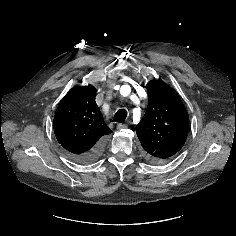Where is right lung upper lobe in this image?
I'll use <instances>...</instances> for the list:
<instances>
[{"mask_svg": "<svg viewBox=\"0 0 236 236\" xmlns=\"http://www.w3.org/2000/svg\"><path fill=\"white\" fill-rule=\"evenodd\" d=\"M93 86L72 88L60 102L54 116V133L64 149L82 154L93 148L111 129L95 102Z\"/></svg>", "mask_w": 236, "mask_h": 236, "instance_id": "1", "label": "right lung upper lobe"}]
</instances>
